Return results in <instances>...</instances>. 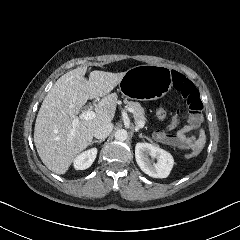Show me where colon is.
I'll use <instances>...</instances> for the list:
<instances>
[{"label": "colon", "mask_w": 240, "mask_h": 240, "mask_svg": "<svg viewBox=\"0 0 240 240\" xmlns=\"http://www.w3.org/2000/svg\"><path fill=\"white\" fill-rule=\"evenodd\" d=\"M174 83L176 84V89L182 92L184 100H188V117L198 126L203 119V102L198 90L191 83H187V79L181 74L174 76ZM156 117L158 119H167V112L163 111V107H158ZM197 151H202V141L200 140L193 142V145L190 146V151H186V158H191Z\"/></svg>", "instance_id": "5ec220e1"}]
</instances>
